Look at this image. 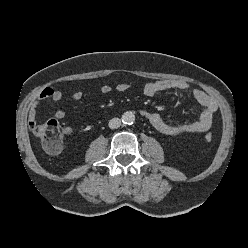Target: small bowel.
Listing matches in <instances>:
<instances>
[{
    "label": "small bowel",
    "instance_id": "c3829d8e",
    "mask_svg": "<svg viewBox=\"0 0 248 248\" xmlns=\"http://www.w3.org/2000/svg\"><path fill=\"white\" fill-rule=\"evenodd\" d=\"M130 88L127 83H119L116 86L118 92H125ZM177 90L182 92H189L194 99L203 107V111L197 120L182 122V123H170L166 121L159 113L151 112L145 109L140 111L151 125L160 133L166 135H178L182 133H195L205 132L210 129L213 123L214 115L217 111L216 101L209 96L206 92L198 88H192L187 82L181 80H157L145 84L143 88V94L147 97H153L162 91ZM112 92L110 85L104 84L100 88V93L108 95ZM64 98L63 92L57 89L47 87L43 89L38 97L31 103L28 123L30 129L34 132L37 127V107L43 100H52L53 102H60ZM83 98V92L80 90L75 91L71 95V100L78 102ZM66 116V112L63 109H57L55 117L57 119H63ZM67 133L71 132V128H65Z\"/></svg>",
    "mask_w": 248,
    "mask_h": 248
}]
</instances>
